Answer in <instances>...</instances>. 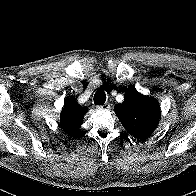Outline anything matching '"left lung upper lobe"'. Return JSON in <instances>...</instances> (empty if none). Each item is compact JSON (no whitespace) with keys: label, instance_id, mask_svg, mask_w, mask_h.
Here are the masks:
<instances>
[{"label":"left lung upper lobe","instance_id":"left-lung-upper-lobe-1","mask_svg":"<svg viewBox=\"0 0 196 196\" xmlns=\"http://www.w3.org/2000/svg\"><path fill=\"white\" fill-rule=\"evenodd\" d=\"M116 114L123 126L134 136L143 138L152 132L159 120V106L146 100L138 92L128 90Z\"/></svg>","mask_w":196,"mask_h":196}]
</instances>
